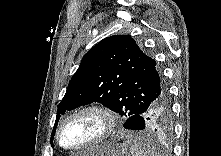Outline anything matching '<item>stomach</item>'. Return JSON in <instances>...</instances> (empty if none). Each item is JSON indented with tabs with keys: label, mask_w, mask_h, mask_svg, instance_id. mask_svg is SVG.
Here are the masks:
<instances>
[{
	"label": "stomach",
	"mask_w": 221,
	"mask_h": 156,
	"mask_svg": "<svg viewBox=\"0 0 221 156\" xmlns=\"http://www.w3.org/2000/svg\"><path fill=\"white\" fill-rule=\"evenodd\" d=\"M89 154L90 156H130L128 147L116 142L94 147L89 150Z\"/></svg>",
	"instance_id": "1"
}]
</instances>
